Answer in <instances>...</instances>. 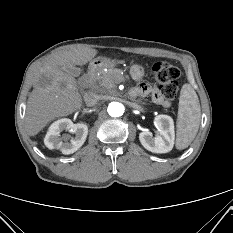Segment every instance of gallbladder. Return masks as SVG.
<instances>
[{
    "label": "gallbladder",
    "mask_w": 233,
    "mask_h": 233,
    "mask_svg": "<svg viewBox=\"0 0 233 233\" xmlns=\"http://www.w3.org/2000/svg\"><path fill=\"white\" fill-rule=\"evenodd\" d=\"M69 72L73 76L78 77L81 74V69L80 68H71V69H69Z\"/></svg>",
    "instance_id": "1"
}]
</instances>
